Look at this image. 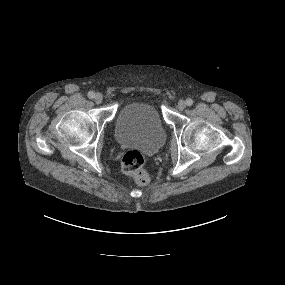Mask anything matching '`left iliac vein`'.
<instances>
[{
	"mask_svg": "<svg viewBox=\"0 0 285 285\" xmlns=\"http://www.w3.org/2000/svg\"><path fill=\"white\" fill-rule=\"evenodd\" d=\"M177 107H178L179 110L185 109V107H186L185 101L180 100V101L178 102V104H177Z\"/></svg>",
	"mask_w": 285,
	"mask_h": 285,
	"instance_id": "left-iliac-vein-1",
	"label": "left iliac vein"
}]
</instances>
